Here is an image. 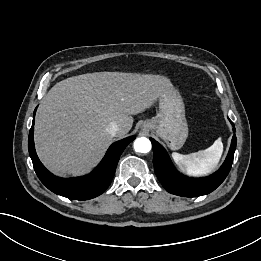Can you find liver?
Returning a JSON list of instances; mask_svg holds the SVG:
<instances>
[{
	"mask_svg": "<svg viewBox=\"0 0 261 261\" xmlns=\"http://www.w3.org/2000/svg\"><path fill=\"white\" fill-rule=\"evenodd\" d=\"M161 75L95 72L55 84L40 105L35 146L42 163L56 175H81L94 167L111 144L106 128L116 122V137L132 128L133 117L172 91Z\"/></svg>",
	"mask_w": 261,
	"mask_h": 261,
	"instance_id": "liver-1",
	"label": "liver"
}]
</instances>
